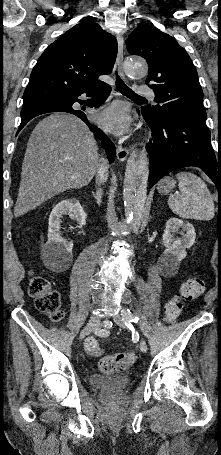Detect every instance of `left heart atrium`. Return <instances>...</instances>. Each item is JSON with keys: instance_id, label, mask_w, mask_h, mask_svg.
<instances>
[{"instance_id": "1", "label": "left heart atrium", "mask_w": 221, "mask_h": 455, "mask_svg": "<svg viewBox=\"0 0 221 455\" xmlns=\"http://www.w3.org/2000/svg\"><path fill=\"white\" fill-rule=\"evenodd\" d=\"M98 122L105 130L114 134H122L130 126L127 108L118 103L102 111L98 116Z\"/></svg>"}]
</instances>
